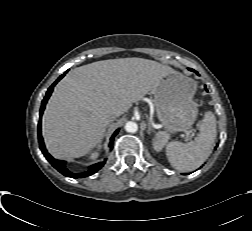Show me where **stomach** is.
<instances>
[{"label": "stomach", "instance_id": "obj_1", "mask_svg": "<svg viewBox=\"0 0 252 231\" xmlns=\"http://www.w3.org/2000/svg\"><path fill=\"white\" fill-rule=\"evenodd\" d=\"M193 79L171 70L153 89V103L157 118L170 133L186 131L193 125L198 109L193 97Z\"/></svg>", "mask_w": 252, "mask_h": 231}]
</instances>
